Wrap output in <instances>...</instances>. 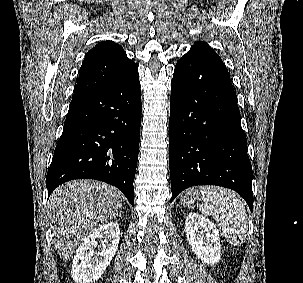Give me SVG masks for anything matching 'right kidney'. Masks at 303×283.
<instances>
[{"mask_svg": "<svg viewBox=\"0 0 303 283\" xmlns=\"http://www.w3.org/2000/svg\"><path fill=\"white\" fill-rule=\"evenodd\" d=\"M119 239L120 229L116 222L104 224L88 235L74 256L71 270L73 280L76 283L98 280L114 257Z\"/></svg>", "mask_w": 303, "mask_h": 283, "instance_id": "obj_1", "label": "right kidney"}]
</instances>
